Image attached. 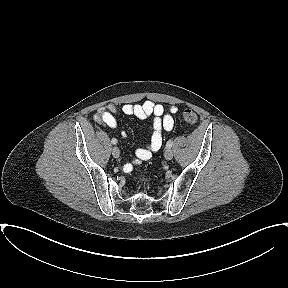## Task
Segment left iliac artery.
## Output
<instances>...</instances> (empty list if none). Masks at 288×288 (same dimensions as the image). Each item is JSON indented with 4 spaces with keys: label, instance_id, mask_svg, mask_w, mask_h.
I'll list each match as a JSON object with an SVG mask.
<instances>
[{
    "label": "left iliac artery",
    "instance_id": "1",
    "mask_svg": "<svg viewBox=\"0 0 288 288\" xmlns=\"http://www.w3.org/2000/svg\"><path fill=\"white\" fill-rule=\"evenodd\" d=\"M172 145H173V140L170 139V140L166 143V148L169 149V148L172 147Z\"/></svg>",
    "mask_w": 288,
    "mask_h": 288
}]
</instances>
